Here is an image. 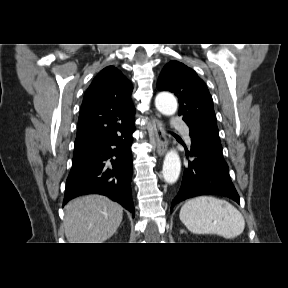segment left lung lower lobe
Wrapping results in <instances>:
<instances>
[{
    "label": "left lung lower lobe",
    "mask_w": 288,
    "mask_h": 288,
    "mask_svg": "<svg viewBox=\"0 0 288 288\" xmlns=\"http://www.w3.org/2000/svg\"><path fill=\"white\" fill-rule=\"evenodd\" d=\"M191 151L194 160L184 170L181 188L172 201L175 204L199 195L216 194L229 197L239 203V195L231 181L228 165L222 149L199 136L191 135Z\"/></svg>",
    "instance_id": "left-lung-lower-lobe-1"
}]
</instances>
